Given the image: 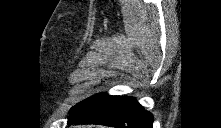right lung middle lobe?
I'll list each match as a JSON object with an SVG mask.
<instances>
[{"mask_svg":"<svg viewBox=\"0 0 221 128\" xmlns=\"http://www.w3.org/2000/svg\"><path fill=\"white\" fill-rule=\"evenodd\" d=\"M108 94L106 93H101V94H97L93 97H90L80 103H78L76 106L72 107V109L70 110V114L74 113L75 111L81 109V108H84L90 104H93L99 100H101L102 98H104L105 96H107Z\"/></svg>","mask_w":221,"mask_h":128,"instance_id":"dd1d6c3e","label":"right lung middle lobe"}]
</instances>
